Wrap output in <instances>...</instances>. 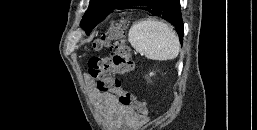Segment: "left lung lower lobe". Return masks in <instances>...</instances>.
<instances>
[{"mask_svg": "<svg viewBox=\"0 0 257 130\" xmlns=\"http://www.w3.org/2000/svg\"><path fill=\"white\" fill-rule=\"evenodd\" d=\"M143 9L172 23L183 41V21L179 0H128L120 9Z\"/></svg>", "mask_w": 257, "mask_h": 130, "instance_id": "obj_1", "label": "left lung lower lobe"}]
</instances>
